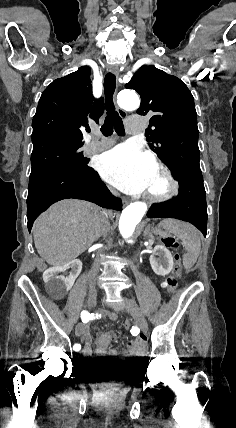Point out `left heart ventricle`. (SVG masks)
Returning a JSON list of instances; mask_svg holds the SVG:
<instances>
[{"instance_id":"obj_1","label":"left heart ventricle","mask_w":236,"mask_h":428,"mask_svg":"<svg viewBox=\"0 0 236 428\" xmlns=\"http://www.w3.org/2000/svg\"><path fill=\"white\" fill-rule=\"evenodd\" d=\"M167 189V184L161 173L154 172L145 192L162 193Z\"/></svg>"}]
</instances>
